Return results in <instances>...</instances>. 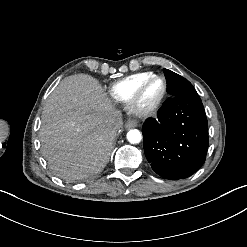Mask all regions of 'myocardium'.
<instances>
[{
	"label": "myocardium",
	"instance_id": "obj_1",
	"mask_svg": "<svg viewBox=\"0 0 247 247\" xmlns=\"http://www.w3.org/2000/svg\"><path fill=\"white\" fill-rule=\"evenodd\" d=\"M153 80H160L164 83V91L161 97L150 106H143L141 104V95L144 87ZM169 92V86L166 78L162 75H151L144 80H142L134 89L131 97L126 103V110L139 118H146L158 111V109L162 106L165 99L167 98Z\"/></svg>",
	"mask_w": 247,
	"mask_h": 247
}]
</instances>
